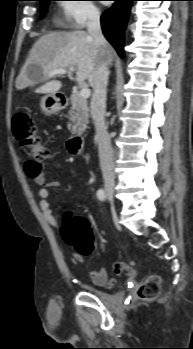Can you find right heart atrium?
Returning <instances> with one entry per match:
<instances>
[{"mask_svg": "<svg viewBox=\"0 0 193 349\" xmlns=\"http://www.w3.org/2000/svg\"><path fill=\"white\" fill-rule=\"evenodd\" d=\"M61 11L65 23L71 28H83L100 17L98 6L90 0H63Z\"/></svg>", "mask_w": 193, "mask_h": 349, "instance_id": "obj_1", "label": "right heart atrium"}]
</instances>
